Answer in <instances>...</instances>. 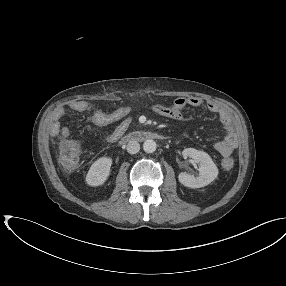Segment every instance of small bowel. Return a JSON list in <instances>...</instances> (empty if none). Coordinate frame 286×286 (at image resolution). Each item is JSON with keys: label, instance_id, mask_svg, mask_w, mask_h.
<instances>
[{"label": "small bowel", "instance_id": "small-bowel-1", "mask_svg": "<svg viewBox=\"0 0 286 286\" xmlns=\"http://www.w3.org/2000/svg\"><path fill=\"white\" fill-rule=\"evenodd\" d=\"M203 100L199 97H180L177 98L170 106L154 105L152 110L166 118L181 121L186 117L183 110L186 107H199ZM207 109L218 115L222 122L226 135L223 140L215 145L216 150L223 156L229 157L239 145V135L235 130L232 116L227 108L215 103L207 102ZM69 109L76 113L86 114L92 123L100 127H107L116 124L115 128L104 137L107 143H114L119 140L131 125V109L128 106H121L112 112H104L96 105L85 100H75L69 104ZM66 115V109L57 108L52 113V122L50 126L51 134L54 136L62 135L67 137L68 129L61 125L62 118Z\"/></svg>", "mask_w": 286, "mask_h": 286}]
</instances>
